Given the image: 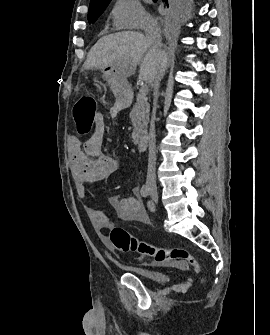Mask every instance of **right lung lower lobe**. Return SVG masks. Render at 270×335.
<instances>
[{
	"instance_id": "98d812e1",
	"label": "right lung lower lobe",
	"mask_w": 270,
	"mask_h": 335,
	"mask_svg": "<svg viewBox=\"0 0 270 335\" xmlns=\"http://www.w3.org/2000/svg\"><path fill=\"white\" fill-rule=\"evenodd\" d=\"M162 1L165 2L167 4V6H168V0H162Z\"/></svg>"
}]
</instances>
